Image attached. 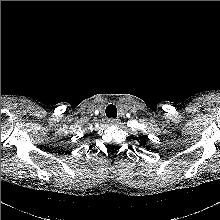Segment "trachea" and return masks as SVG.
I'll use <instances>...</instances> for the list:
<instances>
[{
  "instance_id": "obj_1",
  "label": "trachea",
  "mask_w": 220,
  "mask_h": 220,
  "mask_svg": "<svg viewBox=\"0 0 220 220\" xmlns=\"http://www.w3.org/2000/svg\"><path fill=\"white\" fill-rule=\"evenodd\" d=\"M105 112H106V116H107L108 118H111V117H112V118H115V117H117V108H116V106L113 105V104L108 105V106L106 107Z\"/></svg>"
}]
</instances>
